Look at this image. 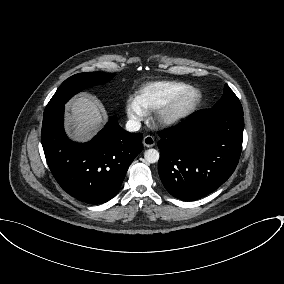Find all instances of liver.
Returning <instances> with one entry per match:
<instances>
[{
    "mask_svg": "<svg viewBox=\"0 0 284 284\" xmlns=\"http://www.w3.org/2000/svg\"><path fill=\"white\" fill-rule=\"evenodd\" d=\"M70 113L67 122L76 140L89 139L103 124V116L97 102L88 97L74 98L67 105Z\"/></svg>",
    "mask_w": 284,
    "mask_h": 284,
    "instance_id": "6515ba94",
    "label": "liver"
}]
</instances>
